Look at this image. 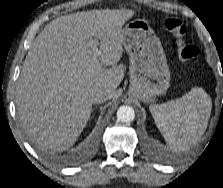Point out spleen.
<instances>
[{"instance_id":"1","label":"spleen","mask_w":223,"mask_h":188,"mask_svg":"<svg viewBox=\"0 0 223 188\" xmlns=\"http://www.w3.org/2000/svg\"><path fill=\"white\" fill-rule=\"evenodd\" d=\"M211 107L208 94L202 88L193 87L181 98L151 104L149 109L169 147L182 151L194 144L206 130Z\"/></svg>"}]
</instances>
